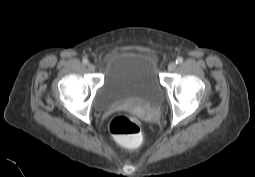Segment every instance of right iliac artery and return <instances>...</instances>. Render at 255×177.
<instances>
[{
  "instance_id": "82829eb1",
  "label": "right iliac artery",
  "mask_w": 255,
  "mask_h": 177,
  "mask_svg": "<svg viewBox=\"0 0 255 177\" xmlns=\"http://www.w3.org/2000/svg\"><path fill=\"white\" fill-rule=\"evenodd\" d=\"M82 62H83V64L87 65L88 64V59L84 58Z\"/></svg>"
}]
</instances>
